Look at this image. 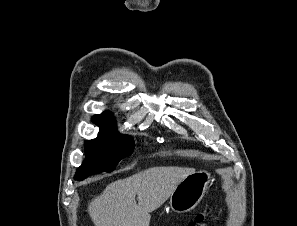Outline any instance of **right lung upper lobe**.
Returning a JSON list of instances; mask_svg holds the SVG:
<instances>
[{
    "label": "right lung upper lobe",
    "mask_w": 297,
    "mask_h": 226,
    "mask_svg": "<svg viewBox=\"0 0 297 226\" xmlns=\"http://www.w3.org/2000/svg\"><path fill=\"white\" fill-rule=\"evenodd\" d=\"M92 121L100 127V130H106L116 127L115 118L110 112L96 115Z\"/></svg>",
    "instance_id": "cb5924a9"
}]
</instances>
